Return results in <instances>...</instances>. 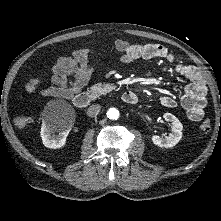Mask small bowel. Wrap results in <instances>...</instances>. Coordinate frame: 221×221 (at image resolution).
<instances>
[{
	"label": "small bowel",
	"instance_id": "c3829d8e",
	"mask_svg": "<svg viewBox=\"0 0 221 221\" xmlns=\"http://www.w3.org/2000/svg\"><path fill=\"white\" fill-rule=\"evenodd\" d=\"M109 50L118 52L122 63L162 58L173 65L175 71L189 81L184 88L181 106L190 120L199 121L203 118L207 105V85L195 66L182 63L159 44H138L117 39L109 46ZM94 56L91 47L86 46L74 50L69 56L58 58L49 72L51 85L41 89L39 95L69 99L78 94L93 74L94 67L91 62ZM160 104L166 108H174L178 102L174 97L164 95L160 98Z\"/></svg>",
	"mask_w": 221,
	"mask_h": 221
}]
</instances>
